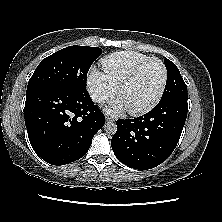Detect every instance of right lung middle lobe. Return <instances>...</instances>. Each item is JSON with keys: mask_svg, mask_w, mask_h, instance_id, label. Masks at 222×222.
Instances as JSON below:
<instances>
[{"mask_svg": "<svg viewBox=\"0 0 222 222\" xmlns=\"http://www.w3.org/2000/svg\"><path fill=\"white\" fill-rule=\"evenodd\" d=\"M102 54L99 47L69 46L46 57L30 78L26 94L43 87L87 91L86 77L92 63Z\"/></svg>", "mask_w": 222, "mask_h": 222, "instance_id": "right-lung-middle-lobe-1", "label": "right lung middle lobe"}]
</instances>
